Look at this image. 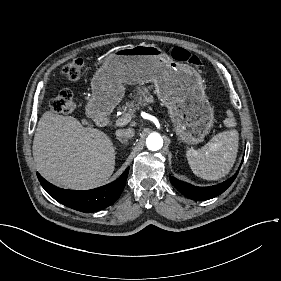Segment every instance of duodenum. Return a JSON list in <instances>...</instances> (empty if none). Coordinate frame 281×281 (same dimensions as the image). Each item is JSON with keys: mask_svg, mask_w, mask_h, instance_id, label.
I'll return each instance as SVG.
<instances>
[{"mask_svg": "<svg viewBox=\"0 0 281 281\" xmlns=\"http://www.w3.org/2000/svg\"><path fill=\"white\" fill-rule=\"evenodd\" d=\"M110 122V119L107 115L105 114H98L96 117H95V124L98 126V127H105L109 124Z\"/></svg>", "mask_w": 281, "mask_h": 281, "instance_id": "obj_1", "label": "duodenum"}]
</instances>
